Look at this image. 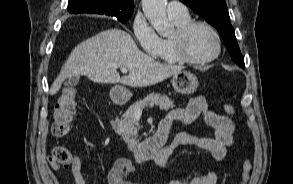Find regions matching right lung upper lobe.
Instances as JSON below:
<instances>
[{
	"instance_id": "cb5924a9",
	"label": "right lung upper lobe",
	"mask_w": 293,
	"mask_h": 184,
	"mask_svg": "<svg viewBox=\"0 0 293 184\" xmlns=\"http://www.w3.org/2000/svg\"><path fill=\"white\" fill-rule=\"evenodd\" d=\"M134 9L133 0H69L71 14H105L108 16H129Z\"/></svg>"
}]
</instances>
